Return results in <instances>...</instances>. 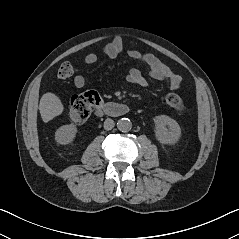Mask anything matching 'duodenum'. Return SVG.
Wrapping results in <instances>:
<instances>
[{"mask_svg":"<svg viewBox=\"0 0 239 239\" xmlns=\"http://www.w3.org/2000/svg\"><path fill=\"white\" fill-rule=\"evenodd\" d=\"M130 112V107L123 103L108 102L101 104L96 109L97 116H123Z\"/></svg>","mask_w":239,"mask_h":239,"instance_id":"duodenum-1","label":"duodenum"}]
</instances>
